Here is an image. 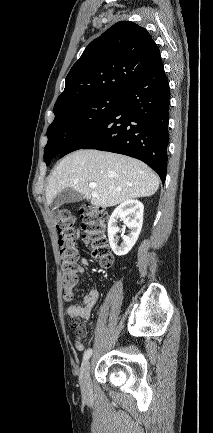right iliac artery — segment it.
I'll use <instances>...</instances> for the list:
<instances>
[{"mask_svg":"<svg viewBox=\"0 0 213 433\" xmlns=\"http://www.w3.org/2000/svg\"><path fill=\"white\" fill-rule=\"evenodd\" d=\"M92 355V349H88L84 352L83 361H87Z\"/></svg>","mask_w":213,"mask_h":433,"instance_id":"1","label":"right iliac artery"}]
</instances>
